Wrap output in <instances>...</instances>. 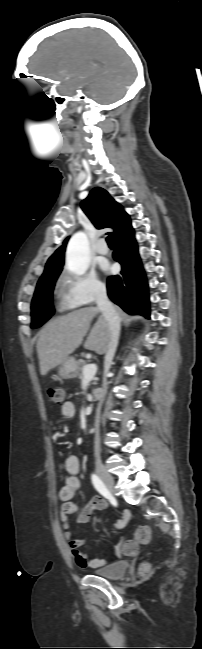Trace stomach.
Here are the masks:
<instances>
[{
	"mask_svg": "<svg viewBox=\"0 0 202 649\" xmlns=\"http://www.w3.org/2000/svg\"><path fill=\"white\" fill-rule=\"evenodd\" d=\"M79 362L74 357H67L61 363L58 374L61 378H74L77 376Z\"/></svg>",
	"mask_w": 202,
	"mask_h": 649,
	"instance_id": "obj_1",
	"label": "stomach"
}]
</instances>
